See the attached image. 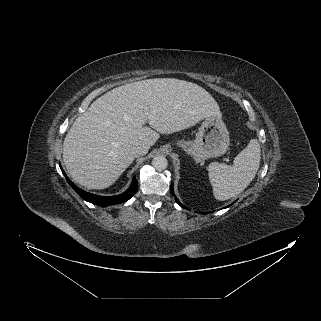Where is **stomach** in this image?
Here are the masks:
<instances>
[{"label":"stomach","mask_w":321,"mask_h":321,"mask_svg":"<svg viewBox=\"0 0 321 321\" xmlns=\"http://www.w3.org/2000/svg\"><path fill=\"white\" fill-rule=\"evenodd\" d=\"M229 144V132L222 119L217 116L203 119L195 140L177 142L198 163L225 154Z\"/></svg>","instance_id":"obj_1"}]
</instances>
